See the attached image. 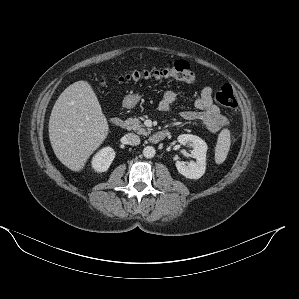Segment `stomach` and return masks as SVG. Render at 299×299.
<instances>
[{"label": "stomach", "instance_id": "1", "mask_svg": "<svg viewBox=\"0 0 299 299\" xmlns=\"http://www.w3.org/2000/svg\"><path fill=\"white\" fill-rule=\"evenodd\" d=\"M140 99V96L138 95H132L128 98L127 102H126V105L128 107H133L137 104V102L139 101Z\"/></svg>", "mask_w": 299, "mask_h": 299}]
</instances>
